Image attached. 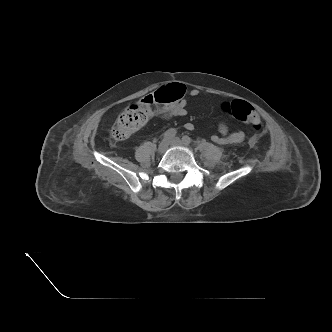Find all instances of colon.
Listing matches in <instances>:
<instances>
[{"label": "colon", "mask_w": 332, "mask_h": 332, "mask_svg": "<svg viewBox=\"0 0 332 332\" xmlns=\"http://www.w3.org/2000/svg\"><path fill=\"white\" fill-rule=\"evenodd\" d=\"M185 86L180 83H171L157 89L138 102L128 105L118 116L111 129V137L115 141L128 139L149 120L153 113V106L160 108L174 105L182 100L185 94ZM220 110L239 121L249 124L254 131L250 143L254 145L263 135V125L258 113L253 106L243 100L224 102Z\"/></svg>", "instance_id": "1"}]
</instances>
